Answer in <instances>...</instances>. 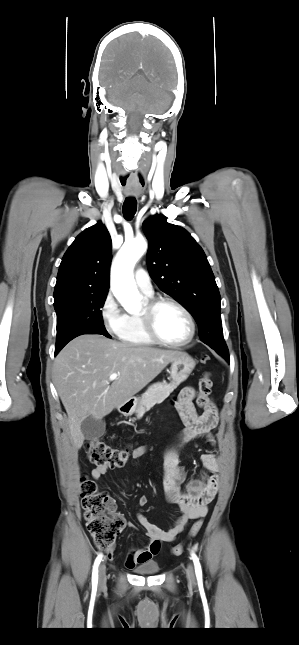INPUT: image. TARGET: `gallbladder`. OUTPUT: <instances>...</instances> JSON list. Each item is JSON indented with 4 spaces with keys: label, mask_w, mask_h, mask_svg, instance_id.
Returning <instances> with one entry per match:
<instances>
[{
    "label": "gallbladder",
    "mask_w": 299,
    "mask_h": 645,
    "mask_svg": "<svg viewBox=\"0 0 299 645\" xmlns=\"http://www.w3.org/2000/svg\"><path fill=\"white\" fill-rule=\"evenodd\" d=\"M106 423L102 419H95L92 416L87 417L81 423V431L86 440H95L104 435Z\"/></svg>",
    "instance_id": "bac80fb5"
}]
</instances>
